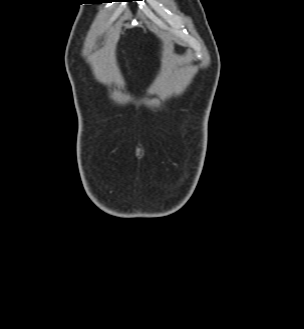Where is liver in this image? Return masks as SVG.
<instances>
[{"instance_id": "1", "label": "liver", "mask_w": 304, "mask_h": 329, "mask_svg": "<svg viewBox=\"0 0 304 329\" xmlns=\"http://www.w3.org/2000/svg\"><path fill=\"white\" fill-rule=\"evenodd\" d=\"M172 48H173V46H172V44H170L168 51L171 52L172 51Z\"/></svg>"}]
</instances>
